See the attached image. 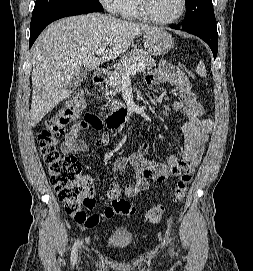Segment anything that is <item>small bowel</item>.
Listing matches in <instances>:
<instances>
[{
    "label": "small bowel",
    "mask_w": 253,
    "mask_h": 271,
    "mask_svg": "<svg viewBox=\"0 0 253 271\" xmlns=\"http://www.w3.org/2000/svg\"><path fill=\"white\" fill-rule=\"evenodd\" d=\"M149 85L161 83L171 84L179 88V100L174 102L172 108L180 112L186 118L183 137L184 148L182 158L171 155L166 163H155L148 157L150 146L148 143L140 145L137 152L117 159L113 165L115 173L124 174L127 168L133 171V182L123 188L118 182H113L107 190L109 200L117 199L122 193L128 198L135 197L137 194L148 188L150 181L162 182L170 177L181 176L185 173L193 175L196 167L200 164L205 145L212 130V121L203 118L204 110L196 99L191 82L187 73L169 64L161 62L157 70L149 72L146 76ZM106 128H111L107 125ZM104 123L99 119L97 122L83 119L76 123L65 136L62 150L65 153H84L89 151L88 144L80 138L82 130L103 129V135L97 138L93 145L101 147L108 143V131ZM91 184L88 177L83 178ZM96 218L95 226L100 219H109L114 215L111 207H106L100 214H93ZM91 226V227H93Z\"/></svg>",
    "instance_id": "small-bowel-1"
}]
</instances>
